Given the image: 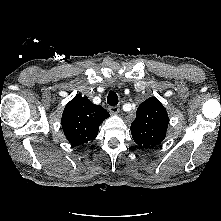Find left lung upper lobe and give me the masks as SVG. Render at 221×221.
Segmentation results:
<instances>
[{"label": "left lung upper lobe", "instance_id": "1", "mask_svg": "<svg viewBox=\"0 0 221 221\" xmlns=\"http://www.w3.org/2000/svg\"><path fill=\"white\" fill-rule=\"evenodd\" d=\"M169 117L162 103L155 97L145 100L137 109L131 123V134L140 147L150 148L165 139Z\"/></svg>", "mask_w": 221, "mask_h": 221}]
</instances>
